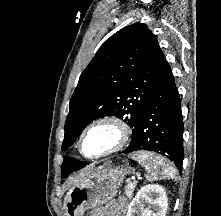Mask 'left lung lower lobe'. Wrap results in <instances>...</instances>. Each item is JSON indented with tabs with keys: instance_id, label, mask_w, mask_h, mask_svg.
<instances>
[{
	"instance_id": "0a47b994",
	"label": "left lung lower lobe",
	"mask_w": 221,
	"mask_h": 216,
	"mask_svg": "<svg viewBox=\"0 0 221 216\" xmlns=\"http://www.w3.org/2000/svg\"><path fill=\"white\" fill-rule=\"evenodd\" d=\"M183 128L179 93L171 69L163 58L156 71L146 108L129 147L123 153L154 151L169 158L181 171Z\"/></svg>"
}]
</instances>
